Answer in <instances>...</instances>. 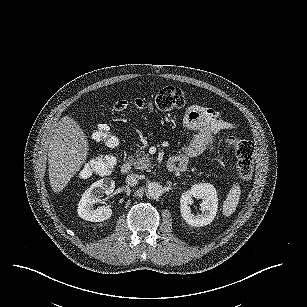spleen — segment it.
Wrapping results in <instances>:
<instances>
[{
  "instance_id": "1",
  "label": "spleen",
  "mask_w": 307,
  "mask_h": 307,
  "mask_svg": "<svg viewBox=\"0 0 307 307\" xmlns=\"http://www.w3.org/2000/svg\"><path fill=\"white\" fill-rule=\"evenodd\" d=\"M239 197H240V188L238 186H234L229 192L227 199L223 205V212L226 216H229L230 214L233 213V211H235L239 201Z\"/></svg>"
}]
</instances>
